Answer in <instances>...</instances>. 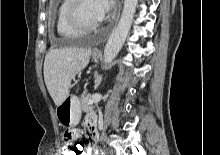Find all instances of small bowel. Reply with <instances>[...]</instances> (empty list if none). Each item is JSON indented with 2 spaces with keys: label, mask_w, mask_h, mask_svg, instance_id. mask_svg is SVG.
<instances>
[{
  "label": "small bowel",
  "mask_w": 220,
  "mask_h": 155,
  "mask_svg": "<svg viewBox=\"0 0 220 155\" xmlns=\"http://www.w3.org/2000/svg\"><path fill=\"white\" fill-rule=\"evenodd\" d=\"M93 123L97 124L96 116L93 113H89L84 120V124L90 129ZM78 136L79 131L75 129V126H64V130H62L63 141H77ZM98 136L99 133L96 138H98ZM83 155H91V150L84 148Z\"/></svg>",
  "instance_id": "small-bowel-1"
}]
</instances>
